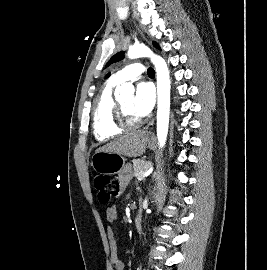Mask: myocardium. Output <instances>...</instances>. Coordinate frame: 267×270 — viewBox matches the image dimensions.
Here are the masks:
<instances>
[{"instance_id": "1", "label": "myocardium", "mask_w": 267, "mask_h": 270, "mask_svg": "<svg viewBox=\"0 0 267 270\" xmlns=\"http://www.w3.org/2000/svg\"><path fill=\"white\" fill-rule=\"evenodd\" d=\"M115 122L124 130L134 129L142 124L141 119H130L119 102H116L115 106Z\"/></svg>"}]
</instances>
